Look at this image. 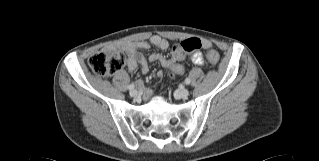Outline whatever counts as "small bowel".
<instances>
[{
	"label": "small bowel",
	"instance_id": "1",
	"mask_svg": "<svg viewBox=\"0 0 319 161\" xmlns=\"http://www.w3.org/2000/svg\"><path fill=\"white\" fill-rule=\"evenodd\" d=\"M151 45L161 50H165L170 46V43L166 39L158 35H153L149 41L124 42L112 44L106 46L103 50L109 53L117 51L126 53L127 67L129 72L135 71L138 65H140L141 72L143 74L148 73V62L160 63L165 69H168L173 75H181L184 72L183 66L180 63H174L172 58H165L164 56L158 53L151 54L148 58H145L138 52L139 49H148ZM203 46L205 48H210L211 43L208 40H203ZM190 60L193 64L197 66L203 65L204 63V58L200 52L193 53L190 56ZM137 85L143 91V100L147 101L150 98V90L145 87L142 81H138Z\"/></svg>",
	"mask_w": 319,
	"mask_h": 161
}]
</instances>
